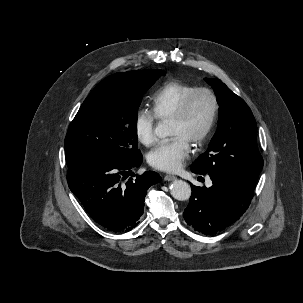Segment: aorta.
<instances>
[{
	"instance_id": "1",
	"label": "aorta",
	"mask_w": 303,
	"mask_h": 303,
	"mask_svg": "<svg viewBox=\"0 0 303 303\" xmlns=\"http://www.w3.org/2000/svg\"><path fill=\"white\" fill-rule=\"evenodd\" d=\"M154 133L159 138H165L171 135V129L166 122H160L155 128ZM170 193L175 199L185 201L191 196V187L183 180H175L170 186Z\"/></svg>"
}]
</instances>
